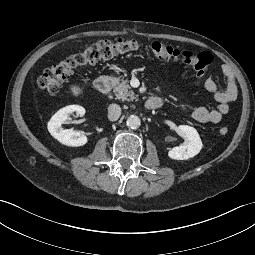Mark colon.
I'll return each mask as SVG.
<instances>
[{
  "label": "colon",
  "instance_id": "1",
  "mask_svg": "<svg viewBox=\"0 0 255 255\" xmlns=\"http://www.w3.org/2000/svg\"><path fill=\"white\" fill-rule=\"evenodd\" d=\"M142 47L139 42L129 38L117 41H98L47 68L39 77V87L49 93H57L62 83L79 68L92 65L100 60L110 59L118 54L138 51ZM148 49L159 60L191 65L195 69L196 77L199 81L203 80L207 70L213 63V57L208 52L195 54L189 51H180L158 41L151 43ZM219 133L226 135L228 128L222 126L219 129Z\"/></svg>",
  "mask_w": 255,
  "mask_h": 255
}]
</instances>
